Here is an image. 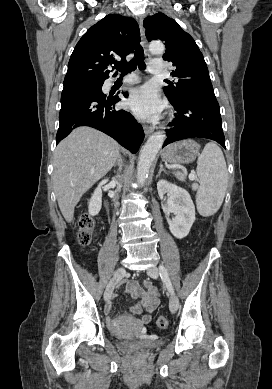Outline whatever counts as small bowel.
I'll return each mask as SVG.
<instances>
[{
    "instance_id": "small-bowel-1",
    "label": "small bowel",
    "mask_w": 272,
    "mask_h": 389,
    "mask_svg": "<svg viewBox=\"0 0 272 389\" xmlns=\"http://www.w3.org/2000/svg\"><path fill=\"white\" fill-rule=\"evenodd\" d=\"M125 293L139 300V304L132 308V312L139 314L142 310H145L146 314L141 317V323L148 324L151 321L150 314L159 304L157 288L150 280H145L141 284L130 282L126 285Z\"/></svg>"
}]
</instances>
